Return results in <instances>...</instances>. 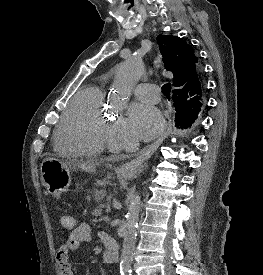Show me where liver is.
Returning <instances> with one entry per match:
<instances>
[{
  "mask_svg": "<svg viewBox=\"0 0 263 275\" xmlns=\"http://www.w3.org/2000/svg\"><path fill=\"white\" fill-rule=\"evenodd\" d=\"M96 165H97L96 162H85V163L77 164L78 168L86 172H95Z\"/></svg>",
  "mask_w": 263,
  "mask_h": 275,
  "instance_id": "liver-1",
  "label": "liver"
}]
</instances>
